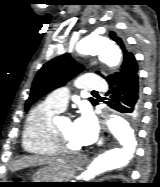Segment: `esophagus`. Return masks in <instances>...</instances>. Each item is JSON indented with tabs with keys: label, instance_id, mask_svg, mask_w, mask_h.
<instances>
[{
	"label": "esophagus",
	"instance_id": "obj_1",
	"mask_svg": "<svg viewBox=\"0 0 160 187\" xmlns=\"http://www.w3.org/2000/svg\"><path fill=\"white\" fill-rule=\"evenodd\" d=\"M77 160L80 163H86L88 161V157L84 154H80V155L77 156Z\"/></svg>",
	"mask_w": 160,
	"mask_h": 187
}]
</instances>
